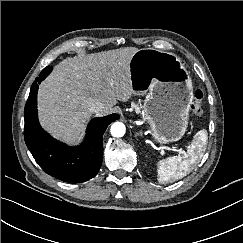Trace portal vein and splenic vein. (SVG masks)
I'll return each instance as SVG.
<instances>
[{
	"mask_svg": "<svg viewBox=\"0 0 243 243\" xmlns=\"http://www.w3.org/2000/svg\"><path fill=\"white\" fill-rule=\"evenodd\" d=\"M161 149H162V150H169V148H167V147H165V146H162ZM177 151H179V152H184V151L181 150V149H180V150H177Z\"/></svg>",
	"mask_w": 243,
	"mask_h": 243,
	"instance_id": "18ae733b",
	"label": "portal vein and splenic vein"
}]
</instances>
